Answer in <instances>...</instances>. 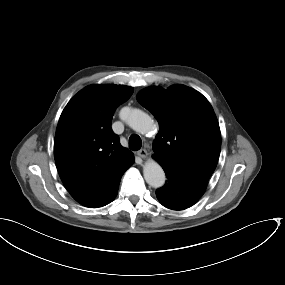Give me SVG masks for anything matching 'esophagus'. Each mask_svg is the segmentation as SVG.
Returning a JSON list of instances; mask_svg holds the SVG:
<instances>
[{"instance_id":"esophagus-1","label":"esophagus","mask_w":285,"mask_h":285,"mask_svg":"<svg viewBox=\"0 0 285 285\" xmlns=\"http://www.w3.org/2000/svg\"><path fill=\"white\" fill-rule=\"evenodd\" d=\"M137 155L143 159H145L148 155L147 151L145 149H140L137 151Z\"/></svg>"}]
</instances>
